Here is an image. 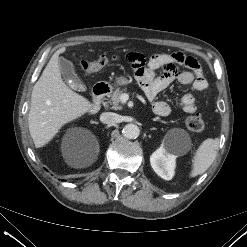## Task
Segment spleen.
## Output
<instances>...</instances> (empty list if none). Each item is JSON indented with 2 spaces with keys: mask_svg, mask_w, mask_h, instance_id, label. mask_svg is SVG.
Returning <instances> with one entry per match:
<instances>
[{
  "mask_svg": "<svg viewBox=\"0 0 247 247\" xmlns=\"http://www.w3.org/2000/svg\"><path fill=\"white\" fill-rule=\"evenodd\" d=\"M218 145V138H208L201 143L193 159V169L190 177L203 174L211 166L216 158Z\"/></svg>",
  "mask_w": 247,
  "mask_h": 247,
  "instance_id": "spleen-1",
  "label": "spleen"
}]
</instances>
